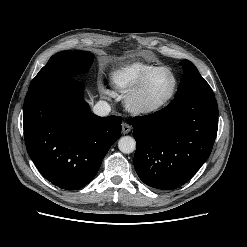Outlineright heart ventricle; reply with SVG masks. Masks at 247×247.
Segmentation results:
<instances>
[{"label":"right heart ventricle","instance_id":"e07e8e85","mask_svg":"<svg viewBox=\"0 0 247 247\" xmlns=\"http://www.w3.org/2000/svg\"><path fill=\"white\" fill-rule=\"evenodd\" d=\"M154 64L144 61H134L115 68L110 74L111 84L120 92H127L138 78Z\"/></svg>","mask_w":247,"mask_h":247}]
</instances>
